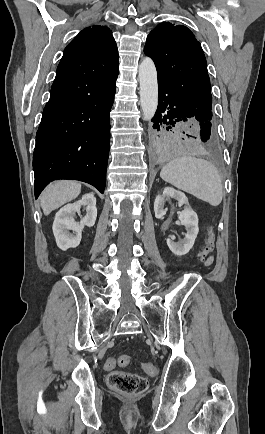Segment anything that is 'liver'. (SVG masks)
Returning <instances> with one entry per match:
<instances>
[{"mask_svg": "<svg viewBox=\"0 0 265 434\" xmlns=\"http://www.w3.org/2000/svg\"><path fill=\"white\" fill-rule=\"evenodd\" d=\"M81 192V184L79 182H67V180H60V182H53L45 188L40 196V206L43 210L44 216H49L52 210L61 208L63 204L75 200Z\"/></svg>", "mask_w": 265, "mask_h": 434, "instance_id": "1", "label": "liver"}]
</instances>
